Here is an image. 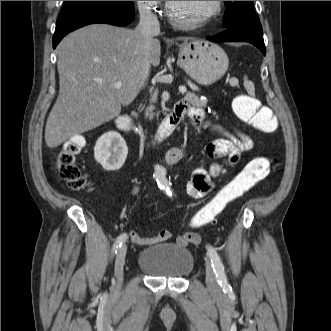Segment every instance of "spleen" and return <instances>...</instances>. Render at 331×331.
<instances>
[{
	"label": "spleen",
	"mask_w": 331,
	"mask_h": 331,
	"mask_svg": "<svg viewBox=\"0 0 331 331\" xmlns=\"http://www.w3.org/2000/svg\"><path fill=\"white\" fill-rule=\"evenodd\" d=\"M245 87H246V89H247V91H248V93L250 95H254V93H255V91H254V84L251 83V82H249L247 80V77H245Z\"/></svg>",
	"instance_id": "spleen-1"
}]
</instances>
